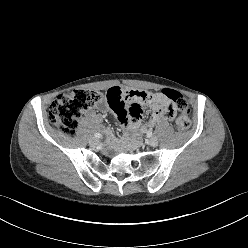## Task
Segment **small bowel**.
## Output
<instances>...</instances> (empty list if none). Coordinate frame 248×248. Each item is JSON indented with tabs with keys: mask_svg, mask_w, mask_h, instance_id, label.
I'll return each instance as SVG.
<instances>
[{
	"mask_svg": "<svg viewBox=\"0 0 248 248\" xmlns=\"http://www.w3.org/2000/svg\"><path fill=\"white\" fill-rule=\"evenodd\" d=\"M106 102L101 107H109L120 119L123 125L132 129L146 131L150 127L172 119L174 112L169 108L166 96L161 92H146L138 89H126L123 85L110 87L105 93ZM145 104L153 110L147 124H141L142 105ZM94 113V112H92ZM107 140L115 145L117 140L112 133L106 131Z\"/></svg>",
	"mask_w": 248,
	"mask_h": 248,
	"instance_id": "1",
	"label": "small bowel"
}]
</instances>
